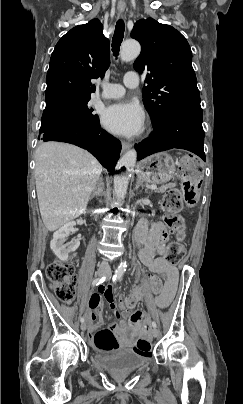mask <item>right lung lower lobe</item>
<instances>
[{
  "instance_id": "obj_1",
  "label": "right lung lower lobe",
  "mask_w": 243,
  "mask_h": 404,
  "mask_svg": "<svg viewBox=\"0 0 243 404\" xmlns=\"http://www.w3.org/2000/svg\"><path fill=\"white\" fill-rule=\"evenodd\" d=\"M42 141H60L88 150L109 171L114 172L119 159L121 143L105 130L99 122L80 119H63L41 134Z\"/></svg>"
}]
</instances>
